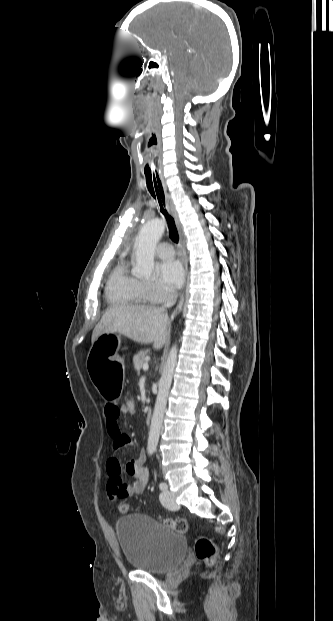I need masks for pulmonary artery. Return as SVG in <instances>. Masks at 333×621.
Wrapping results in <instances>:
<instances>
[{
	"label": "pulmonary artery",
	"instance_id": "1",
	"mask_svg": "<svg viewBox=\"0 0 333 621\" xmlns=\"http://www.w3.org/2000/svg\"><path fill=\"white\" fill-rule=\"evenodd\" d=\"M156 254L162 259H172L174 256V250L170 243L161 242L156 248Z\"/></svg>",
	"mask_w": 333,
	"mask_h": 621
}]
</instances>
